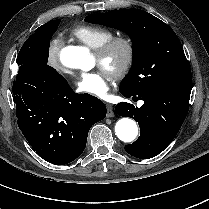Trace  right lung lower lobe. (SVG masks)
I'll return each mask as SVG.
<instances>
[{
	"label": "right lung lower lobe",
	"instance_id": "1",
	"mask_svg": "<svg viewBox=\"0 0 209 209\" xmlns=\"http://www.w3.org/2000/svg\"><path fill=\"white\" fill-rule=\"evenodd\" d=\"M18 126L44 160L72 162L86 147L93 124L106 106L89 94H76L54 68L21 65L12 87Z\"/></svg>",
	"mask_w": 209,
	"mask_h": 209
}]
</instances>
